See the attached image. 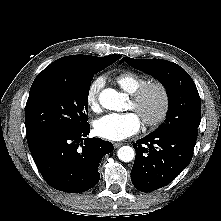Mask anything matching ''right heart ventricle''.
Listing matches in <instances>:
<instances>
[{
	"label": "right heart ventricle",
	"mask_w": 221,
	"mask_h": 221,
	"mask_svg": "<svg viewBox=\"0 0 221 221\" xmlns=\"http://www.w3.org/2000/svg\"><path fill=\"white\" fill-rule=\"evenodd\" d=\"M118 86L128 94H133L141 85L147 82V78L134 71H125L115 78Z\"/></svg>",
	"instance_id": "obj_1"
}]
</instances>
